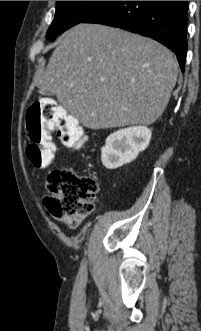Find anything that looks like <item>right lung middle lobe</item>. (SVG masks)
I'll return each mask as SVG.
<instances>
[{
  "mask_svg": "<svg viewBox=\"0 0 201 331\" xmlns=\"http://www.w3.org/2000/svg\"><path fill=\"white\" fill-rule=\"evenodd\" d=\"M108 1H57L54 20L47 31L49 39L83 22Z\"/></svg>",
  "mask_w": 201,
  "mask_h": 331,
  "instance_id": "obj_1",
  "label": "right lung middle lobe"
}]
</instances>
